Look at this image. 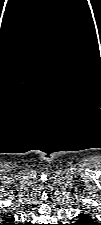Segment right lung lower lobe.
I'll list each match as a JSON object with an SVG mask.
<instances>
[{
  "mask_svg": "<svg viewBox=\"0 0 101 225\" xmlns=\"http://www.w3.org/2000/svg\"><path fill=\"white\" fill-rule=\"evenodd\" d=\"M6 225H17V224H15L13 222H9V223H6Z\"/></svg>",
  "mask_w": 101,
  "mask_h": 225,
  "instance_id": "1",
  "label": "right lung lower lobe"
}]
</instances>
